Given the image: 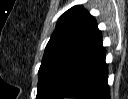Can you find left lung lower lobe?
<instances>
[{
    "label": "left lung lower lobe",
    "mask_w": 128,
    "mask_h": 99,
    "mask_svg": "<svg viewBox=\"0 0 128 99\" xmlns=\"http://www.w3.org/2000/svg\"><path fill=\"white\" fill-rule=\"evenodd\" d=\"M106 51L97 29L55 73L42 99H110Z\"/></svg>",
    "instance_id": "1"
}]
</instances>
